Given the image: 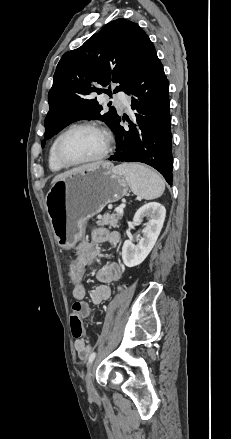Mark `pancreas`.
<instances>
[{
  "instance_id": "cf45deb5",
  "label": "pancreas",
  "mask_w": 231,
  "mask_h": 439,
  "mask_svg": "<svg viewBox=\"0 0 231 439\" xmlns=\"http://www.w3.org/2000/svg\"><path fill=\"white\" fill-rule=\"evenodd\" d=\"M122 217H123V214H120V213H116V214L106 213L96 223L98 226H108L109 228H112V227L119 228L120 220L122 219Z\"/></svg>"
}]
</instances>
